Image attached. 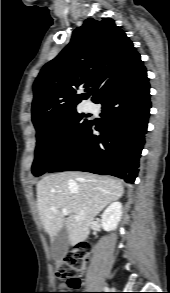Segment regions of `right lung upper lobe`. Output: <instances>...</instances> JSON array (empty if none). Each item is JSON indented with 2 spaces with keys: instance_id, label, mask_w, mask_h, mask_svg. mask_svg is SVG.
Listing matches in <instances>:
<instances>
[{
  "instance_id": "1",
  "label": "right lung upper lobe",
  "mask_w": 170,
  "mask_h": 293,
  "mask_svg": "<svg viewBox=\"0 0 170 293\" xmlns=\"http://www.w3.org/2000/svg\"><path fill=\"white\" fill-rule=\"evenodd\" d=\"M143 67L132 42L113 19H87L62 52L42 68L33 85L35 128L74 109L90 95L95 102L108 87ZM81 85L92 92L77 94Z\"/></svg>"
}]
</instances>
